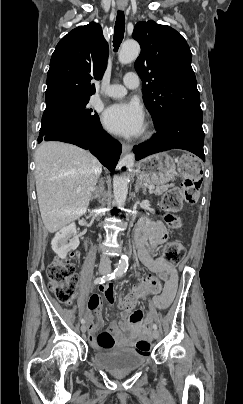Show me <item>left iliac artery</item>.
Listing matches in <instances>:
<instances>
[{
    "label": "left iliac artery",
    "mask_w": 243,
    "mask_h": 404,
    "mask_svg": "<svg viewBox=\"0 0 243 404\" xmlns=\"http://www.w3.org/2000/svg\"><path fill=\"white\" fill-rule=\"evenodd\" d=\"M122 275H123V273H118L116 278H121ZM153 329L157 330V325L156 324H153Z\"/></svg>",
    "instance_id": "obj_1"
}]
</instances>
